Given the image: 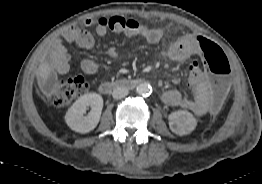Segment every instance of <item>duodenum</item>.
I'll list each match as a JSON object with an SVG mask.
<instances>
[{
	"instance_id": "1",
	"label": "duodenum",
	"mask_w": 262,
	"mask_h": 184,
	"mask_svg": "<svg viewBox=\"0 0 262 184\" xmlns=\"http://www.w3.org/2000/svg\"><path fill=\"white\" fill-rule=\"evenodd\" d=\"M141 79H121L117 82L105 81L99 86L103 94H108L116 88H132L141 83Z\"/></svg>"
}]
</instances>
